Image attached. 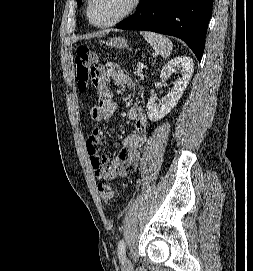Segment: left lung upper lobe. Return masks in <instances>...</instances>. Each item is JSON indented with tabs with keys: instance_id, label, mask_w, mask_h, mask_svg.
Returning <instances> with one entry per match:
<instances>
[{
	"instance_id": "obj_1",
	"label": "left lung upper lobe",
	"mask_w": 253,
	"mask_h": 271,
	"mask_svg": "<svg viewBox=\"0 0 253 271\" xmlns=\"http://www.w3.org/2000/svg\"><path fill=\"white\" fill-rule=\"evenodd\" d=\"M77 3H78V7L81 6V0H77Z\"/></svg>"
}]
</instances>
